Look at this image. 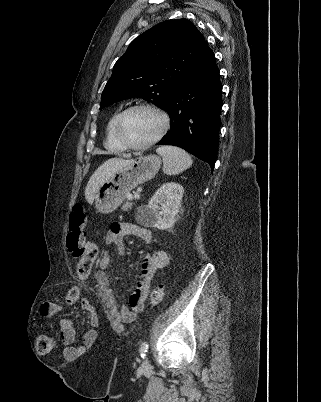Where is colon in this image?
<instances>
[{"instance_id":"colon-1","label":"colon","mask_w":321,"mask_h":402,"mask_svg":"<svg viewBox=\"0 0 321 402\" xmlns=\"http://www.w3.org/2000/svg\"><path fill=\"white\" fill-rule=\"evenodd\" d=\"M87 215L82 205H76L69 214V232L66 236V247L72 256L77 260V276L85 280L89 277L97 257V246L89 241L86 236ZM82 285H73L66 293V302L69 305L78 301L79 294H82ZM165 294L164 286L158 285L150 293V301L153 305L159 304ZM145 300L134 301V307L140 306ZM58 345L57 336L53 333L41 334L37 339V351L39 353H50Z\"/></svg>"}]
</instances>
